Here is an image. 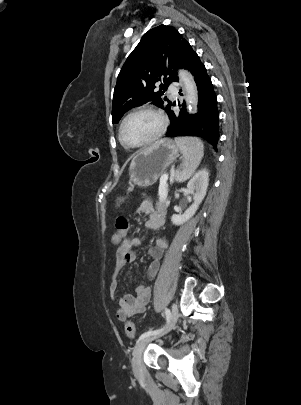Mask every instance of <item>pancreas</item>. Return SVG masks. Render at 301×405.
<instances>
[{
  "instance_id": "cf45deb5",
  "label": "pancreas",
  "mask_w": 301,
  "mask_h": 405,
  "mask_svg": "<svg viewBox=\"0 0 301 405\" xmlns=\"http://www.w3.org/2000/svg\"><path fill=\"white\" fill-rule=\"evenodd\" d=\"M169 205V200L167 198H162L159 195V200L156 203V209L158 210V212L160 213H166V209Z\"/></svg>"
}]
</instances>
